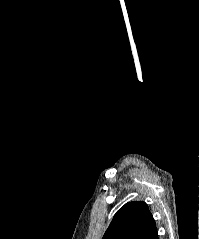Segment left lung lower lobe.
<instances>
[{"label":"left lung lower lobe","mask_w":199,"mask_h":239,"mask_svg":"<svg viewBox=\"0 0 199 239\" xmlns=\"http://www.w3.org/2000/svg\"><path fill=\"white\" fill-rule=\"evenodd\" d=\"M155 239H159V238H158V235H157V237H156Z\"/></svg>","instance_id":"0a47b994"}]
</instances>
